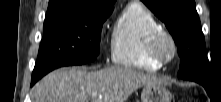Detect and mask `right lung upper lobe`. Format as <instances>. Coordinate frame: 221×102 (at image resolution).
<instances>
[{
  "label": "right lung upper lobe",
  "mask_w": 221,
  "mask_h": 102,
  "mask_svg": "<svg viewBox=\"0 0 221 102\" xmlns=\"http://www.w3.org/2000/svg\"><path fill=\"white\" fill-rule=\"evenodd\" d=\"M115 0H49L47 12L73 9H112Z\"/></svg>",
  "instance_id": "1"
}]
</instances>
